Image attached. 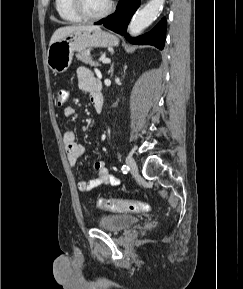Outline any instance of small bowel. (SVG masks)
Wrapping results in <instances>:
<instances>
[{"mask_svg": "<svg viewBox=\"0 0 243 289\" xmlns=\"http://www.w3.org/2000/svg\"><path fill=\"white\" fill-rule=\"evenodd\" d=\"M76 74L78 87L90 94V101L94 107V110L97 111L95 106L94 91L97 87L101 88L100 81L95 77L93 72L86 67H79ZM64 115L68 118L73 117L75 115V109L72 106L65 107ZM63 143L68 161L71 165H75L84 154L82 145L76 141L75 133L71 130L64 132ZM94 169L97 172V177L91 180H80L77 184L80 191L88 192L101 186H120L122 184L120 179L113 176L109 172L104 161H96L94 163Z\"/></svg>", "mask_w": 243, "mask_h": 289, "instance_id": "small-bowel-1", "label": "small bowel"}]
</instances>
